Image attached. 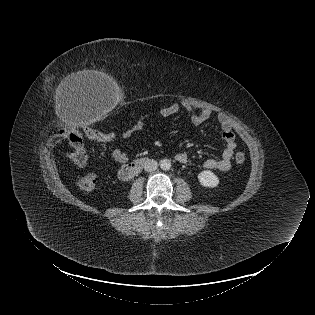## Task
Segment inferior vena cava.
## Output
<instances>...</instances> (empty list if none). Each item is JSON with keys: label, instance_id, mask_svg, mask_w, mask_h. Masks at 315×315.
Masks as SVG:
<instances>
[{"label": "inferior vena cava", "instance_id": "1", "mask_svg": "<svg viewBox=\"0 0 315 315\" xmlns=\"http://www.w3.org/2000/svg\"><path fill=\"white\" fill-rule=\"evenodd\" d=\"M158 168V163L154 159H148L144 163V169L146 172H153Z\"/></svg>", "mask_w": 315, "mask_h": 315}]
</instances>
